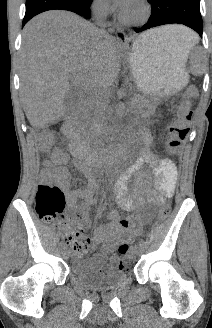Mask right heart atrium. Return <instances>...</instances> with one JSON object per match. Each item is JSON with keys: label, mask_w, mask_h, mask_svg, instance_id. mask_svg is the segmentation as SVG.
Listing matches in <instances>:
<instances>
[{"label": "right heart atrium", "mask_w": 212, "mask_h": 328, "mask_svg": "<svg viewBox=\"0 0 212 328\" xmlns=\"http://www.w3.org/2000/svg\"><path fill=\"white\" fill-rule=\"evenodd\" d=\"M94 8L101 13H107L110 9L108 0H94Z\"/></svg>", "instance_id": "right-heart-atrium-1"}]
</instances>
